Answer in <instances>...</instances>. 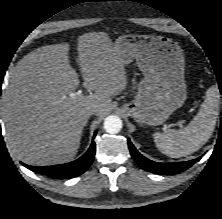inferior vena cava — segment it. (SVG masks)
I'll return each instance as SVG.
<instances>
[{
    "mask_svg": "<svg viewBox=\"0 0 222 219\" xmlns=\"http://www.w3.org/2000/svg\"><path fill=\"white\" fill-rule=\"evenodd\" d=\"M98 112V108L97 107H90L88 108L85 112L84 115L85 116H90L92 114H96Z\"/></svg>",
    "mask_w": 222,
    "mask_h": 219,
    "instance_id": "1",
    "label": "inferior vena cava"
}]
</instances>
